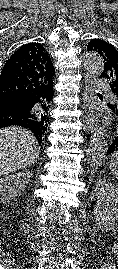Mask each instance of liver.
<instances>
[{
  "instance_id": "obj_1",
  "label": "liver",
  "mask_w": 118,
  "mask_h": 269,
  "mask_svg": "<svg viewBox=\"0 0 118 269\" xmlns=\"http://www.w3.org/2000/svg\"><path fill=\"white\" fill-rule=\"evenodd\" d=\"M40 147L35 136L22 127L0 129V176L37 162Z\"/></svg>"
}]
</instances>
